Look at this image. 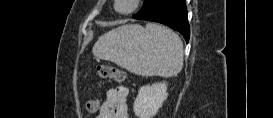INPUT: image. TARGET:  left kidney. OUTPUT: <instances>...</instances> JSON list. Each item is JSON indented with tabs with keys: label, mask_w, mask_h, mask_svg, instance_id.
Segmentation results:
<instances>
[{
	"label": "left kidney",
	"mask_w": 273,
	"mask_h": 118,
	"mask_svg": "<svg viewBox=\"0 0 273 118\" xmlns=\"http://www.w3.org/2000/svg\"><path fill=\"white\" fill-rule=\"evenodd\" d=\"M167 97L166 82L142 86L133 105L135 115L138 118H153Z\"/></svg>",
	"instance_id": "obj_1"
}]
</instances>
